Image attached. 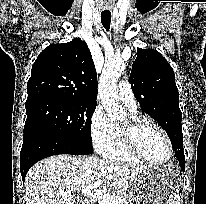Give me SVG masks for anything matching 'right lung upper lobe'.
<instances>
[{
    "instance_id": "1",
    "label": "right lung upper lobe",
    "mask_w": 206,
    "mask_h": 204,
    "mask_svg": "<svg viewBox=\"0 0 206 204\" xmlns=\"http://www.w3.org/2000/svg\"><path fill=\"white\" fill-rule=\"evenodd\" d=\"M96 92L92 55L80 38L46 47L34 62L27 83V100L57 97L96 102Z\"/></svg>"
}]
</instances>
